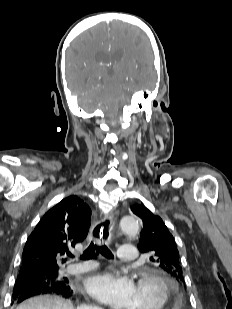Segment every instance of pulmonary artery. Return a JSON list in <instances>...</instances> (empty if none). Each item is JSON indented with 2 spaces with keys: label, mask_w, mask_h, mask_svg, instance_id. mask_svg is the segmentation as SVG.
I'll list each match as a JSON object with an SVG mask.
<instances>
[{
  "label": "pulmonary artery",
  "mask_w": 232,
  "mask_h": 309,
  "mask_svg": "<svg viewBox=\"0 0 232 309\" xmlns=\"http://www.w3.org/2000/svg\"><path fill=\"white\" fill-rule=\"evenodd\" d=\"M117 256L123 262H133L136 258L135 247L132 245L121 246L118 249ZM93 267L94 265L90 263L70 264L64 271L70 274H80L91 270Z\"/></svg>",
  "instance_id": "pulmonary-artery-1"
}]
</instances>
